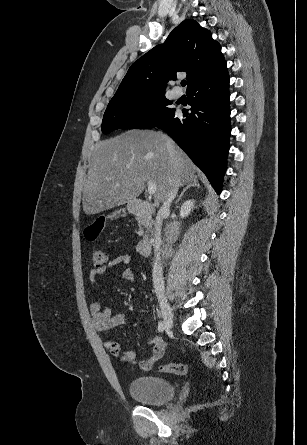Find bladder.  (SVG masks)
<instances>
[{"instance_id": "obj_1", "label": "bladder", "mask_w": 307, "mask_h": 445, "mask_svg": "<svg viewBox=\"0 0 307 445\" xmlns=\"http://www.w3.org/2000/svg\"><path fill=\"white\" fill-rule=\"evenodd\" d=\"M175 385L157 376H139L130 381V395L147 405H161L170 401L175 395Z\"/></svg>"}]
</instances>
